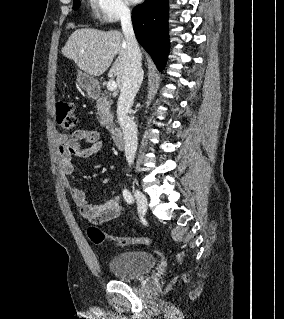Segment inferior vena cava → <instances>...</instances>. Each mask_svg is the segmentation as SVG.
Listing matches in <instances>:
<instances>
[{
	"label": "inferior vena cava",
	"mask_w": 284,
	"mask_h": 319,
	"mask_svg": "<svg viewBox=\"0 0 284 319\" xmlns=\"http://www.w3.org/2000/svg\"><path fill=\"white\" fill-rule=\"evenodd\" d=\"M120 21L127 44L128 64L117 102V118L124 134L126 160L131 165L137 151V127L128 113L142 83L143 70L141 67V52L134 34L129 9L121 11Z\"/></svg>",
	"instance_id": "inferior-vena-cava-1"
}]
</instances>
